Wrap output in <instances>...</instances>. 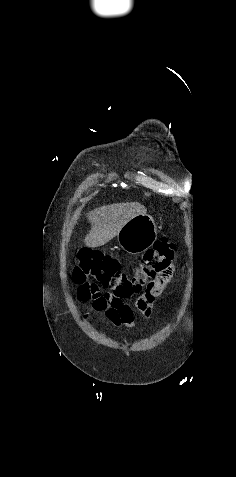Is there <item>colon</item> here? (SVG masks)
<instances>
[{
	"label": "colon",
	"instance_id": "colon-1",
	"mask_svg": "<svg viewBox=\"0 0 236 477\" xmlns=\"http://www.w3.org/2000/svg\"><path fill=\"white\" fill-rule=\"evenodd\" d=\"M175 262L174 244L167 238L157 240L140 260L137 269L128 275L120 262L100 251L82 249L72 273L81 301L100 300L104 305L122 311L125 303L134 296L150 291L163 290L173 273Z\"/></svg>",
	"mask_w": 236,
	"mask_h": 477
}]
</instances>
